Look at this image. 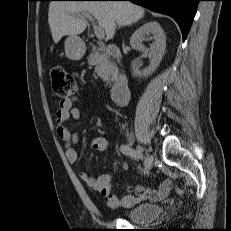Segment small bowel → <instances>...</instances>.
<instances>
[{
  "instance_id": "c3829d8e",
  "label": "small bowel",
  "mask_w": 231,
  "mask_h": 231,
  "mask_svg": "<svg viewBox=\"0 0 231 231\" xmlns=\"http://www.w3.org/2000/svg\"><path fill=\"white\" fill-rule=\"evenodd\" d=\"M75 101V97L62 100L56 113V133L64 142L65 155L71 164L78 161V153L73 148V145L77 142L79 136L77 133H72L67 126V121L70 118L78 119L80 117L79 109L74 106ZM90 146L95 151H105L109 148V140L102 136L94 137L90 142ZM79 177L90 189L107 197L108 205L113 208L131 207L143 200H162L168 195L172 187V181L166 179L157 189L138 186L135 193L117 196L112 193L111 174L106 173L98 177H92L87 172L81 171Z\"/></svg>"
}]
</instances>
